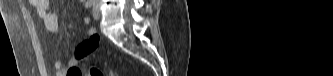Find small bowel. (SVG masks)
<instances>
[{
    "mask_svg": "<svg viewBox=\"0 0 333 76\" xmlns=\"http://www.w3.org/2000/svg\"><path fill=\"white\" fill-rule=\"evenodd\" d=\"M34 5L39 16L43 19L47 30L51 33L60 32V24L57 16L49 9V2L46 0H35ZM84 23L89 25L90 19L85 18ZM89 38L79 43L74 49V53L67 62L56 60L53 62V68L57 76H83L79 62L93 53L97 49V42L101 40L100 32H95L94 27L87 30Z\"/></svg>",
    "mask_w": 333,
    "mask_h": 76,
    "instance_id": "obj_1",
    "label": "small bowel"
}]
</instances>
